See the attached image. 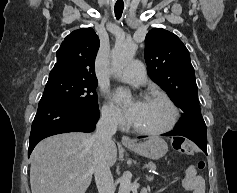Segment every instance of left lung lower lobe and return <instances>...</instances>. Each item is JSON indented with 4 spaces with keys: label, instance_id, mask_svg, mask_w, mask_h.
<instances>
[{
    "label": "left lung lower lobe",
    "instance_id": "0a47b994",
    "mask_svg": "<svg viewBox=\"0 0 237 193\" xmlns=\"http://www.w3.org/2000/svg\"><path fill=\"white\" fill-rule=\"evenodd\" d=\"M174 135L184 136L192 140L194 143L198 145L200 149L204 151V153L207 154V135H201V134H197V133L189 132V131H179L175 129L171 132L163 134V136H174Z\"/></svg>",
    "mask_w": 237,
    "mask_h": 193
}]
</instances>
